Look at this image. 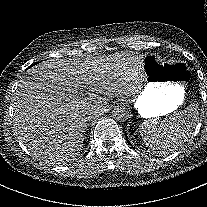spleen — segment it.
I'll return each mask as SVG.
<instances>
[{
    "instance_id": "1",
    "label": "spleen",
    "mask_w": 207,
    "mask_h": 207,
    "mask_svg": "<svg viewBox=\"0 0 207 207\" xmlns=\"http://www.w3.org/2000/svg\"><path fill=\"white\" fill-rule=\"evenodd\" d=\"M200 116V109L191 106L185 113L172 115L168 120L145 122L140 128V133L149 139L146 143L147 150L158 156L174 152L189 139L191 135L189 127L195 125Z\"/></svg>"
}]
</instances>
